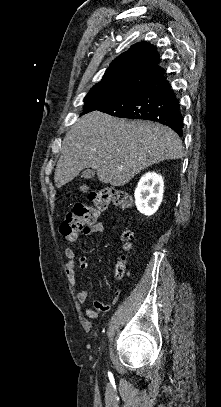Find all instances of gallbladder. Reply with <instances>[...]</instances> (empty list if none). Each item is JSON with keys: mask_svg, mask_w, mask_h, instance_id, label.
Masks as SVG:
<instances>
[{"mask_svg": "<svg viewBox=\"0 0 221 407\" xmlns=\"http://www.w3.org/2000/svg\"><path fill=\"white\" fill-rule=\"evenodd\" d=\"M95 176V171L93 169H86L81 177H84L86 179L93 178Z\"/></svg>", "mask_w": 221, "mask_h": 407, "instance_id": "1", "label": "gallbladder"}]
</instances>
